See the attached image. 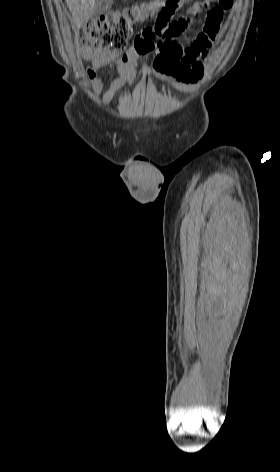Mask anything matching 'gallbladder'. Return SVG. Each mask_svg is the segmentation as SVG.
Masks as SVG:
<instances>
[{"instance_id":"gallbladder-1","label":"gallbladder","mask_w":280,"mask_h":472,"mask_svg":"<svg viewBox=\"0 0 280 472\" xmlns=\"http://www.w3.org/2000/svg\"><path fill=\"white\" fill-rule=\"evenodd\" d=\"M113 0H96L94 8V16H98L108 12L112 6Z\"/></svg>"}]
</instances>
